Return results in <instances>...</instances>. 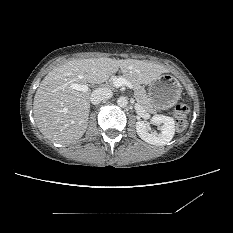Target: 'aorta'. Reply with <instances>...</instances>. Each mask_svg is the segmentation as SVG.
<instances>
[{"label": "aorta", "mask_w": 233, "mask_h": 233, "mask_svg": "<svg viewBox=\"0 0 233 233\" xmlns=\"http://www.w3.org/2000/svg\"><path fill=\"white\" fill-rule=\"evenodd\" d=\"M117 105L122 108L126 107L128 105V99L124 96L119 97L117 99Z\"/></svg>", "instance_id": "aorta-1"}]
</instances>
